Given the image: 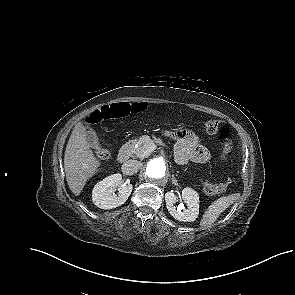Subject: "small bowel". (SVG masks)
<instances>
[{"label": "small bowel", "instance_id": "1", "mask_svg": "<svg viewBox=\"0 0 295 295\" xmlns=\"http://www.w3.org/2000/svg\"><path fill=\"white\" fill-rule=\"evenodd\" d=\"M172 136L176 139L175 159L178 164L184 165L188 161L202 164L210 159V152L194 133L183 130L173 132Z\"/></svg>", "mask_w": 295, "mask_h": 295}]
</instances>
